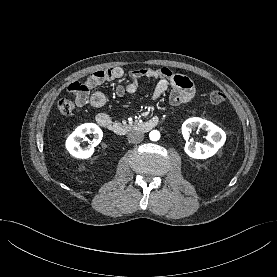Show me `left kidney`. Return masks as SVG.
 Masks as SVG:
<instances>
[{
  "label": "left kidney",
  "instance_id": "1",
  "mask_svg": "<svg viewBox=\"0 0 277 277\" xmlns=\"http://www.w3.org/2000/svg\"><path fill=\"white\" fill-rule=\"evenodd\" d=\"M196 128L207 132V141L196 144L187 141L184 150L186 154L192 158L207 159L216 154V152L223 146L226 140V134L221 128L212 122L202 118L193 117L187 119L182 125V134L184 138L187 139L190 131Z\"/></svg>",
  "mask_w": 277,
  "mask_h": 277
}]
</instances>
